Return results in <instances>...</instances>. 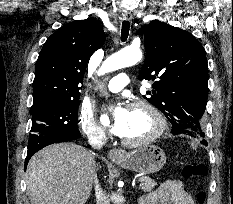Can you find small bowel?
Wrapping results in <instances>:
<instances>
[{"label":"small bowel","instance_id":"small-bowel-1","mask_svg":"<svg viewBox=\"0 0 233 204\" xmlns=\"http://www.w3.org/2000/svg\"><path fill=\"white\" fill-rule=\"evenodd\" d=\"M140 204H195L179 180H167L158 189L144 195Z\"/></svg>","mask_w":233,"mask_h":204}]
</instances>
